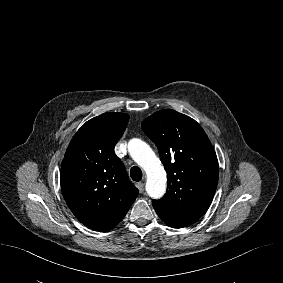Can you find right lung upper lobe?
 Masks as SVG:
<instances>
[{"mask_svg": "<svg viewBox=\"0 0 283 283\" xmlns=\"http://www.w3.org/2000/svg\"><path fill=\"white\" fill-rule=\"evenodd\" d=\"M129 116L104 113L90 119L71 140L61 166L64 199L86 227L106 232L119 224L138 195L114 147Z\"/></svg>", "mask_w": 283, "mask_h": 283, "instance_id": "1", "label": "right lung upper lobe"}]
</instances>
